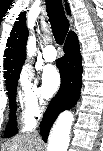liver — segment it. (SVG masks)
I'll return each instance as SVG.
<instances>
[{"label":"liver","mask_w":103,"mask_h":151,"mask_svg":"<svg viewBox=\"0 0 103 151\" xmlns=\"http://www.w3.org/2000/svg\"><path fill=\"white\" fill-rule=\"evenodd\" d=\"M41 140L36 134H23L14 137L12 140L4 143L1 151H40Z\"/></svg>","instance_id":"6515ba94"}]
</instances>
